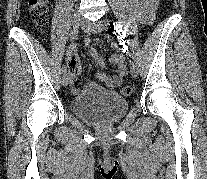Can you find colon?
<instances>
[{"mask_svg":"<svg viewBox=\"0 0 207 179\" xmlns=\"http://www.w3.org/2000/svg\"><path fill=\"white\" fill-rule=\"evenodd\" d=\"M30 15L33 23L39 27L45 26L48 21L49 6L47 0H29ZM70 72H77V68L73 65V58L69 62ZM132 88L124 86L121 88V94L124 96L130 95Z\"/></svg>","mask_w":207,"mask_h":179,"instance_id":"colon-1","label":"colon"}]
</instances>
